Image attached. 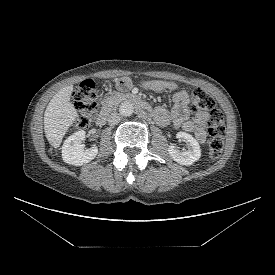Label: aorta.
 Returning <instances> with one entry per match:
<instances>
[{
  "label": "aorta",
  "mask_w": 275,
  "mask_h": 275,
  "mask_svg": "<svg viewBox=\"0 0 275 275\" xmlns=\"http://www.w3.org/2000/svg\"><path fill=\"white\" fill-rule=\"evenodd\" d=\"M134 112V106L132 103L130 102H123L121 103L120 107H119V113L122 116H131Z\"/></svg>",
  "instance_id": "1"
}]
</instances>
